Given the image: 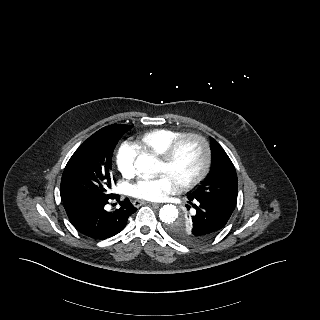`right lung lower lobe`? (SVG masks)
Returning a JSON list of instances; mask_svg holds the SVG:
<instances>
[{
  "mask_svg": "<svg viewBox=\"0 0 320 320\" xmlns=\"http://www.w3.org/2000/svg\"><path fill=\"white\" fill-rule=\"evenodd\" d=\"M112 194L108 198H64L65 211L74 227L84 236L104 240L121 232L137 209L128 198L120 203L121 207L112 212L104 209Z\"/></svg>",
  "mask_w": 320,
  "mask_h": 320,
  "instance_id": "98d812e1",
  "label": "right lung lower lobe"
}]
</instances>
